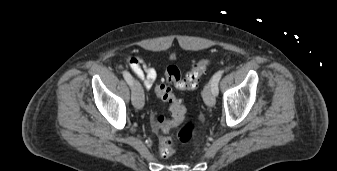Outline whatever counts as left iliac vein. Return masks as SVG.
<instances>
[{
  "mask_svg": "<svg viewBox=\"0 0 337 171\" xmlns=\"http://www.w3.org/2000/svg\"><path fill=\"white\" fill-rule=\"evenodd\" d=\"M203 99L207 106L213 107L216 103L215 96L212 92L211 84L207 83L203 89Z\"/></svg>",
  "mask_w": 337,
  "mask_h": 171,
  "instance_id": "1",
  "label": "left iliac vein"
}]
</instances>
